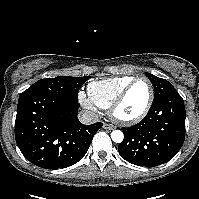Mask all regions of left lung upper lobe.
Wrapping results in <instances>:
<instances>
[{"mask_svg":"<svg viewBox=\"0 0 199 199\" xmlns=\"http://www.w3.org/2000/svg\"><path fill=\"white\" fill-rule=\"evenodd\" d=\"M145 74L154 86L155 94L153 102H156L168 96L179 95L176 89L167 80L156 77L147 72H145Z\"/></svg>","mask_w":199,"mask_h":199,"instance_id":"1","label":"left lung upper lobe"}]
</instances>
